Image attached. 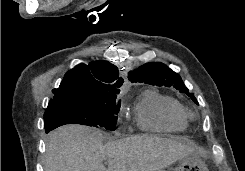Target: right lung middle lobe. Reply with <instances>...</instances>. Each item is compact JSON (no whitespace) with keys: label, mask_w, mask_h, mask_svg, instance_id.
<instances>
[{"label":"right lung middle lobe","mask_w":245,"mask_h":171,"mask_svg":"<svg viewBox=\"0 0 245 171\" xmlns=\"http://www.w3.org/2000/svg\"><path fill=\"white\" fill-rule=\"evenodd\" d=\"M120 102L116 95L92 100H61L51 102L44 114L45 131L64 124H83L113 131L116 128Z\"/></svg>","instance_id":"right-lung-middle-lobe-1"}]
</instances>
